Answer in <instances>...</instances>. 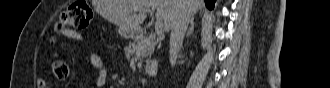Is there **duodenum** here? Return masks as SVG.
Segmentation results:
<instances>
[{"label": "duodenum", "instance_id": "410a0bca", "mask_svg": "<svg viewBox=\"0 0 330 88\" xmlns=\"http://www.w3.org/2000/svg\"><path fill=\"white\" fill-rule=\"evenodd\" d=\"M142 38H143V35L140 33H134L132 35V39H134V40H140ZM158 69H159V64L157 62H149V63H147V65L145 67V72L148 75L153 76L158 72Z\"/></svg>", "mask_w": 330, "mask_h": 88}]
</instances>
